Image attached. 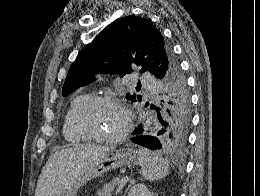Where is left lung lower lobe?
Instances as JSON below:
<instances>
[{"instance_id":"obj_1","label":"left lung lower lobe","mask_w":260,"mask_h":196,"mask_svg":"<svg viewBox=\"0 0 260 196\" xmlns=\"http://www.w3.org/2000/svg\"><path fill=\"white\" fill-rule=\"evenodd\" d=\"M132 134H136L138 136L132 139V142L149 148L151 150L159 149V141L156 137L150 135H143V127L140 126L136 129Z\"/></svg>"}]
</instances>
